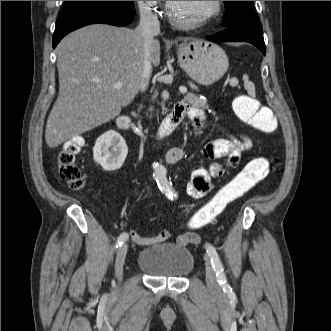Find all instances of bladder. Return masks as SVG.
I'll list each match as a JSON object with an SVG mask.
<instances>
[{"label": "bladder", "instance_id": "obj_1", "mask_svg": "<svg viewBox=\"0 0 331 331\" xmlns=\"http://www.w3.org/2000/svg\"><path fill=\"white\" fill-rule=\"evenodd\" d=\"M191 250L177 243H161L145 247L139 254L137 266L152 278L180 279L194 269Z\"/></svg>", "mask_w": 331, "mask_h": 331}]
</instances>
